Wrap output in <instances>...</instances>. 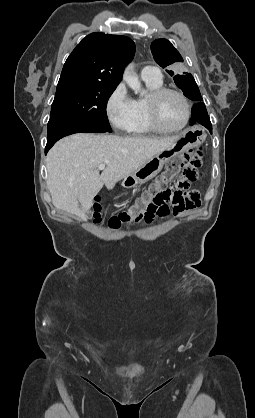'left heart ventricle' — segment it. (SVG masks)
I'll return each mask as SVG.
<instances>
[{"label": "left heart ventricle", "instance_id": "1", "mask_svg": "<svg viewBox=\"0 0 255 418\" xmlns=\"http://www.w3.org/2000/svg\"><path fill=\"white\" fill-rule=\"evenodd\" d=\"M186 116L184 102L175 94L166 95L160 103V118L164 126L176 128L180 126Z\"/></svg>", "mask_w": 255, "mask_h": 418}]
</instances>
